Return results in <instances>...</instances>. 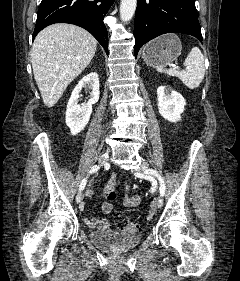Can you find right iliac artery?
I'll use <instances>...</instances> for the list:
<instances>
[{"instance_id": "obj_1", "label": "right iliac artery", "mask_w": 240, "mask_h": 281, "mask_svg": "<svg viewBox=\"0 0 240 281\" xmlns=\"http://www.w3.org/2000/svg\"><path fill=\"white\" fill-rule=\"evenodd\" d=\"M98 169H99V166L94 165V166L90 169L89 174H92V173L98 171ZM86 182H87V178H85V179L82 180V182H81V184H80V186H79V190H80V191H82V190L85 188Z\"/></svg>"}]
</instances>
